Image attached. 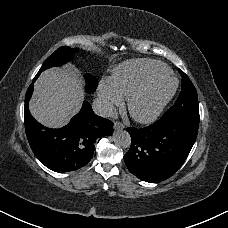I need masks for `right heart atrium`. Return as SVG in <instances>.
<instances>
[{
    "instance_id": "right-heart-atrium-1",
    "label": "right heart atrium",
    "mask_w": 228,
    "mask_h": 228,
    "mask_svg": "<svg viewBox=\"0 0 228 228\" xmlns=\"http://www.w3.org/2000/svg\"><path fill=\"white\" fill-rule=\"evenodd\" d=\"M98 96L105 108L113 105H120L123 102L122 94L115 88L108 79H103L98 88Z\"/></svg>"
}]
</instances>
